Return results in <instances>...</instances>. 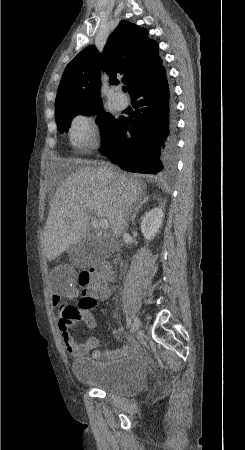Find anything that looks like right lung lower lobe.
I'll return each mask as SVG.
<instances>
[{"label": "right lung lower lobe", "instance_id": "right-lung-lower-lobe-1", "mask_svg": "<svg viewBox=\"0 0 245 450\" xmlns=\"http://www.w3.org/2000/svg\"><path fill=\"white\" fill-rule=\"evenodd\" d=\"M131 99L136 101L134 120L121 117L112 141L102 151L124 170L170 174L175 169L176 145L173 106L163 66L136 87Z\"/></svg>", "mask_w": 245, "mask_h": 450}]
</instances>
